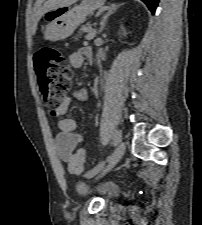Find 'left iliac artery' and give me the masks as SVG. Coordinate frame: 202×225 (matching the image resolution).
Listing matches in <instances>:
<instances>
[{
  "label": "left iliac artery",
  "instance_id": "obj_1",
  "mask_svg": "<svg viewBox=\"0 0 202 225\" xmlns=\"http://www.w3.org/2000/svg\"><path fill=\"white\" fill-rule=\"evenodd\" d=\"M120 141L119 137L115 138L114 145H117ZM110 160V157H107L105 161L100 162L89 174H87L88 177H93L98 175L104 168L106 161Z\"/></svg>",
  "mask_w": 202,
  "mask_h": 225
}]
</instances>
